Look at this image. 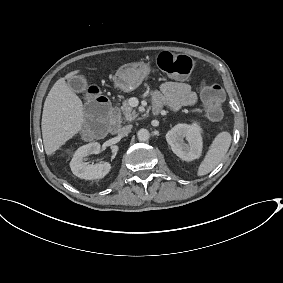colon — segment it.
Instances as JSON below:
<instances>
[{"label":"colon","mask_w":283,"mask_h":283,"mask_svg":"<svg viewBox=\"0 0 283 283\" xmlns=\"http://www.w3.org/2000/svg\"><path fill=\"white\" fill-rule=\"evenodd\" d=\"M157 63L161 70L177 77L189 75L196 67V61L193 58L170 52L161 53ZM200 95L207 116L212 120L220 119L225 97L223 88L217 83L204 84ZM85 106L87 122L84 129L86 133H101L110 110L108 100L96 86H90L86 92Z\"/></svg>","instance_id":"obj_1"}]
</instances>
